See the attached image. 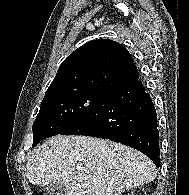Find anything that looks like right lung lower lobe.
<instances>
[{
  "label": "right lung lower lobe",
  "mask_w": 189,
  "mask_h": 195,
  "mask_svg": "<svg viewBox=\"0 0 189 195\" xmlns=\"http://www.w3.org/2000/svg\"><path fill=\"white\" fill-rule=\"evenodd\" d=\"M61 134L119 142L139 150L160 166L156 110L138 79L110 92L81 121Z\"/></svg>",
  "instance_id": "obj_1"
}]
</instances>
